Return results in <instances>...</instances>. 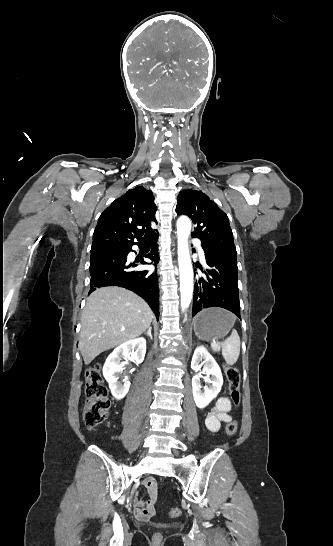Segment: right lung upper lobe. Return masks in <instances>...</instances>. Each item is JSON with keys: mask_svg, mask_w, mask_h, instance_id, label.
Returning <instances> with one entry per match:
<instances>
[{"mask_svg": "<svg viewBox=\"0 0 333 546\" xmlns=\"http://www.w3.org/2000/svg\"><path fill=\"white\" fill-rule=\"evenodd\" d=\"M157 207L151 190L136 187L116 199L103 211L93 233L92 248L110 243H135L155 234Z\"/></svg>", "mask_w": 333, "mask_h": 546, "instance_id": "obj_1", "label": "right lung upper lobe"}]
</instances>
